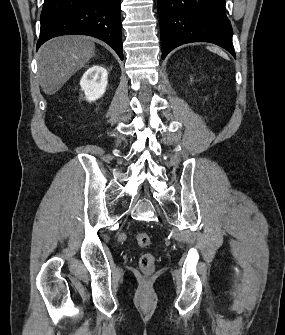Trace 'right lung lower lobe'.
I'll use <instances>...</instances> for the list:
<instances>
[{
    "instance_id": "1",
    "label": "right lung lower lobe",
    "mask_w": 285,
    "mask_h": 335,
    "mask_svg": "<svg viewBox=\"0 0 285 335\" xmlns=\"http://www.w3.org/2000/svg\"><path fill=\"white\" fill-rule=\"evenodd\" d=\"M37 49L62 35H89L110 45L123 60L120 0H44Z\"/></svg>"
}]
</instances>
